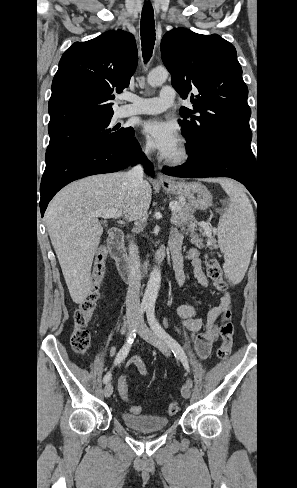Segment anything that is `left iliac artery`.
I'll return each mask as SVG.
<instances>
[{"mask_svg":"<svg viewBox=\"0 0 297 488\" xmlns=\"http://www.w3.org/2000/svg\"><path fill=\"white\" fill-rule=\"evenodd\" d=\"M147 319L151 329L168 344V346L171 348L172 352L174 353L175 357L180 359L185 369L189 371L188 359L183 348L159 324V322L155 317L154 307L147 308Z\"/></svg>","mask_w":297,"mask_h":488,"instance_id":"44dca946","label":"left iliac artery"}]
</instances>
